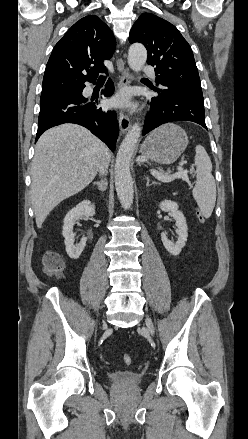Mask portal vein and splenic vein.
<instances>
[{"mask_svg":"<svg viewBox=\"0 0 248 439\" xmlns=\"http://www.w3.org/2000/svg\"><path fill=\"white\" fill-rule=\"evenodd\" d=\"M179 171L171 176H168L164 173H161L155 169H151V174L156 177L158 180L162 182H170L176 178H182L183 180L188 181L187 171H183L182 164H180L177 168Z\"/></svg>","mask_w":248,"mask_h":439,"instance_id":"18ae733b","label":"portal vein and splenic vein"}]
</instances>
